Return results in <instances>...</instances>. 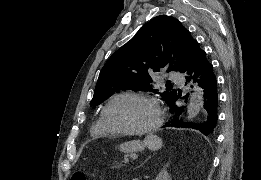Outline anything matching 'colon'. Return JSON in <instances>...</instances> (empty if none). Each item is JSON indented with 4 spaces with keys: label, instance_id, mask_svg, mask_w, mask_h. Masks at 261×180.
Here are the masks:
<instances>
[{
    "label": "colon",
    "instance_id": "5ec220e1",
    "mask_svg": "<svg viewBox=\"0 0 261 180\" xmlns=\"http://www.w3.org/2000/svg\"><path fill=\"white\" fill-rule=\"evenodd\" d=\"M72 180H86V175L83 172H75L72 176Z\"/></svg>",
    "mask_w": 261,
    "mask_h": 180
}]
</instances>
